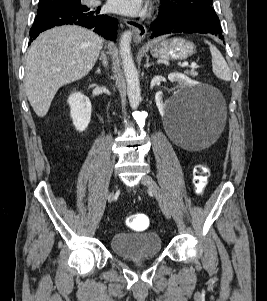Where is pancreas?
Wrapping results in <instances>:
<instances>
[{
	"label": "pancreas",
	"mask_w": 267,
	"mask_h": 301,
	"mask_svg": "<svg viewBox=\"0 0 267 301\" xmlns=\"http://www.w3.org/2000/svg\"><path fill=\"white\" fill-rule=\"evenodd\" d=\"M186 73L191 76H197V72L195 70L187 71Z\"/></svg>",
	"instance_id": "pancreas-1"
}]
</instances>
